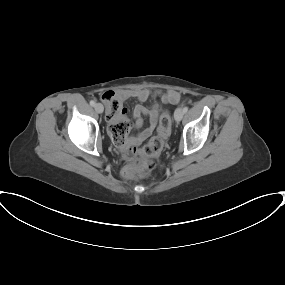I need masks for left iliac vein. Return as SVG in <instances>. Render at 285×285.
<instances>
[{
  "mask_svg": "<svg viewBox=\"0 0 285 285\" xmlns=\"http://www.w3.org/2000/svg\"><path fill=\"white\" fill-rule=\"evenodd\" d=\"M184 112L181 108H177L174 113V118L177 122L181 121L183 118Z\"/></svg>",
  "mask_w": 285,
  "mask_h": 285,
  "instance_id": "4c4485c4",
  "label": "left iliac vein"
}]
</instances>
